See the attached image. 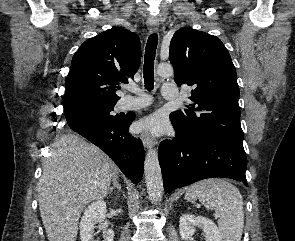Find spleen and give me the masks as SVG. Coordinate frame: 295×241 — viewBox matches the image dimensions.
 <instances>
[{"label":"spleen","mask_w":295,"mask_h":241,"mask_svg":"<svg viewBox=\"0 0 295 241\" xmlns=\"http://www.w3.org/2000/svg\"><path fill=\"white\" fill-rule=\"evenodd\" d=\"M185 199H198L208 210H215L223 241L241 240L244 227L243 198L233 184L221 178L203 180L188 188Z\"/></svg>","instance_id":"1"}]
</instances>
